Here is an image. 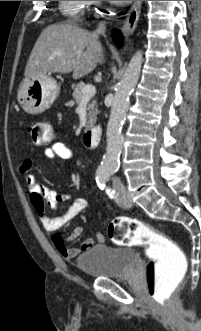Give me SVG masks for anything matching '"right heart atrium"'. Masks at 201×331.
<instances>
[{
    "instance_id": "right-heart-atrium-1",
    "label": "right heart atrium",
    "mask_w": 201,
    "mask_h": 331,
    "mask_svg": "<svg viewBox=\"0 0 201 331\" xmlns=\"http://www.w3.org/2000/svg\"><path fill=\"white\" fill-rule=\"evenodd\" d=\"M88 7H90L92 10H97V8H94L96 5L99 4V1H84Z\"/></svg>"
}]
</instances>
